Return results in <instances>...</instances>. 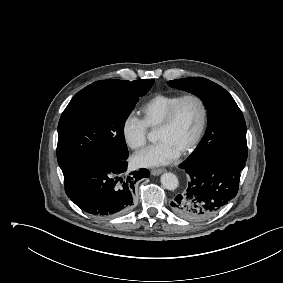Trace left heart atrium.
Returning a JSON list of instances; mask_svg holds the SVG:
<instances>
[{"label": "left heart atrium", "instance_id": "1", "mask_svg": "<svg viewBox=\"0 0 283 283\" xmlns=\"http://www.w3.org/2000/svg\"><path fill=\"white\" fill-rule=\"evenodd\" d=\"M180 151L167 141H159L145 150L137 153L133 161L137 166L154 167L167 165L176 160Z\"/></svg>", "mask_w": 283, "mask_h": 283}]
</instances>
